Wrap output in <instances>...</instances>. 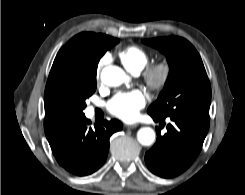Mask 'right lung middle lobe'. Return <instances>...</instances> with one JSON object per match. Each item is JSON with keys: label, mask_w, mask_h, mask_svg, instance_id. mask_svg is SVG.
Here are the masks:
<instances>
[{"label": "right lung middle lobe", "mask_w": 245, "mask_h": 195, "mask_svg": "<svg viewBox=\"0 0 245 195\" xmlns=\"http://www.w3.org/2000/svg\"><path fill=\"white\" fill-rule=\"evenodd\" d=\"M119 42L112 38L94 52L76 51L68 55L58 73V89L78 116L86 107L85 100L96 90L97 66L103 54Z\"/></svg>", "instance_id": "dd1d6c3e"}]
</instances>
